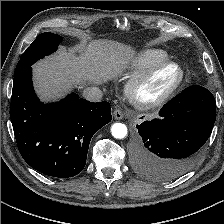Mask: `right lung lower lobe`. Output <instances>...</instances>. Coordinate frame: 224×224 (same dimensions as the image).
I'll return each mask as SVG.
<instances>
[{
    "label": "right lung lower lobe",
    "instance_id": "98d812e1",
    "mask_svg": "<svg viewBox=\"0 0 224 224\" xmlns=\"http://www.w3.org/2000/svg\"><path fill=\"white\" fill-rule=\"evenodd\" d=\"M108 102H89L76 93L43 104L29 67L13 82L10 118L20 154L33 169L53 177L77 175L86 164L92 136L111 119Z\"/></svg>",
    "mask_w": 224,
    "mask_h": 224
}]
</instances>
